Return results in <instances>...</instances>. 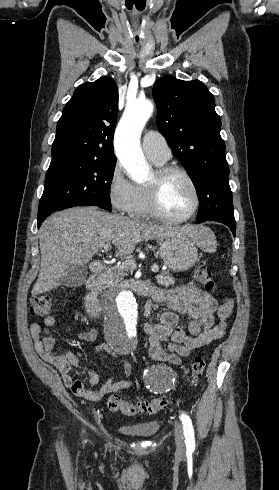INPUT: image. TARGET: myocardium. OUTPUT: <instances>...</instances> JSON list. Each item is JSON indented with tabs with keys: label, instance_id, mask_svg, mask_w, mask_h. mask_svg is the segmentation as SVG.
I'll return each mask as SVG.
<instances>
[{
	"label": "myocardium",
	"instance_id": "f54148a6",
	"mask_svg": "<svg viewBox=\"0 0 279 490\" xmlns=\"http://www.w3.org/2000/svg\"><path fill=\"white\" fill-rule=\"evenodd\" d=\"M171 174H179L183 176L189 182L194 192L193 206L191 210L182 217H172L168 215L161 205L160 196H161L162 185L164 180ZM148 189H149V205H150L151 213L155 217L169 223H183L185 221H188L196 214L201 203L200 190L196 181L185 168L179 165L168 164V165L160 166L156 170L155 180L149 183Z\"/></svg>",
	"mask_w": 279,
	"mask_h": 490
}]
</instances>
